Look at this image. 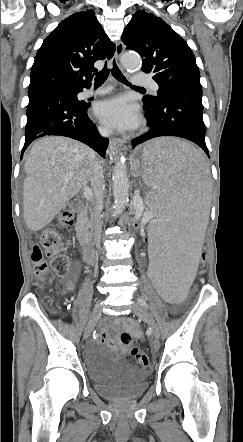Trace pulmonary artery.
<instances>
[{
    "mask_svg": "<svg viewBox=\"0 0 243 442\" xmlns=\"http://www.w3.org/2000/svg\"><path fill=\"white\" fill-rule=\"evenodd\" d=\"M134 85L140 86V85H144L147 86L151 92L153 93H157L159 86L156 82L152 81L151 79H147V78H140L139 74H135V79H134ZM107 90L106 89H97V90H86L83 92L82 96L83 98H89L92 96H98L101 95L103 93H105Z\"/></svg>",
    "mask_w": 243,
    "mask_h": 442,
    "instance_id": "e3ab8cb5",
    "label": "pulmonary artery"
}]
</instances>
